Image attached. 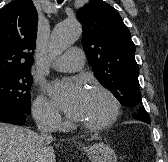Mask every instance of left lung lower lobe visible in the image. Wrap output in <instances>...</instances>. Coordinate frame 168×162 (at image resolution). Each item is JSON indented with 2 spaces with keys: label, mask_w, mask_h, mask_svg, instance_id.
I'll list each match as a JSON object with an SVG mask.
<instances>
[{
  "label": "left lung lower lobe",
  "mask_w": 168,
  "mask_h": 162,
  "mask_svg": "<svg viewBox=\"0 0 168 162\" xmlns=\"http://www.w3.org/2000/svg\"><path fill=\"white\" fill-rule=\"evenodd\" d=\"M133 118L134 119H137V120H140L142 122H146L148 124H150L151 120H150V117L148 115V113L146 111H144V109L141 110V112H135L133 114Z\"/></svg>",
  "instance_id": "1"
}]
</instances>
